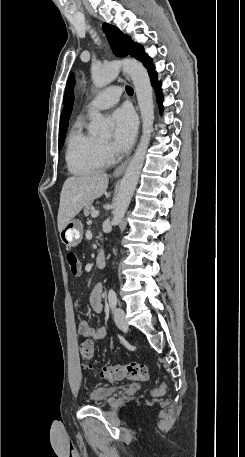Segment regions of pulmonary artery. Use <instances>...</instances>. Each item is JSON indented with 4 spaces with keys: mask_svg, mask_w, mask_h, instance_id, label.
I'll list each match as a JSON object with an SVG mask.
<instances>
[{
    "mask_svg": "<svg viewBox=\"0 0 245 457\" xmlns=\"http://www.w3.org/2000/svg\"><path fill=\"white\" fill-rule=\"evenodd\" d=\"M123 93L121 86H105L104 93H97L85 106L86 110L106 109L119 101V95Z\"/></svg>",
    "mask_w": 245,
    "mask_h": 457,
    "instance_id": "obj_1",
    "label": "pulmonary artery"
}]
</instances>
